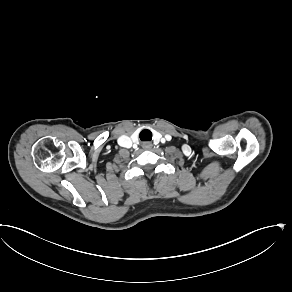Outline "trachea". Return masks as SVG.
Masks as SVG:
<instances>
[{
  "mask_svg": "<svg viewBox=\"0 0 292 292\" xmlns=\"http://www.w3.org/2000/svg\"><path fill=\"white\" fill-rule=\"evenodd\" d=\"M139 137L141 141H151L152 133L151 131L145 129L140 132Z\"/></svg>",
  "mask_w": 292,
  "mask_h": 292,
  "instance_id": "trachea-1",
  "label": "trachea"
}]
</instances>
